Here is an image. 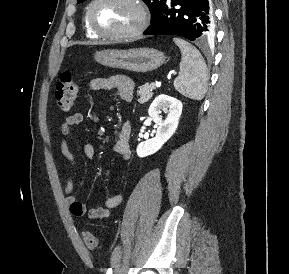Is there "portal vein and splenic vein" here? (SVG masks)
Returning a JSON list of instances; mask_svg holds the SVG:
<instances>
[{
  "mask_svg": "<svg viewBox=\"0 0 289 274\" xmlns=\"http://www.w3.org/2000/svg\"><path fill=\"white\" fill-rule=\"evenodd\" d=\"M161 83L160 82H152L151 86L153 89H155L157 86H159Z\"/></svg>",
  "mask_w": 289,
  "mask_h": 274,
  "instance_id": "1",
  "label": "portal vein and splenic vein"
}]
</instances>
